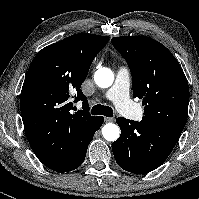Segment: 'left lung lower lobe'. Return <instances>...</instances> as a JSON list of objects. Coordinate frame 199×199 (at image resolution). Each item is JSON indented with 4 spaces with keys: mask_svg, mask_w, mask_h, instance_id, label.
I'll list each match as a JSON object with an SVG mask.
<instances>
[{
    "mask_svg": "<svg viewBox=\"0 0 199 199\" xmlns=\"http://www.w3.org/2000/svg\"><path fill=\"white\" fill-rule=\"evenodd\" d=\"M116 122L121 135L112 143V151L117 164L131 173L143 174L158 168L181 135L146 120L137 122L119 117Z\"/></svg>",
    "mask_w": 199,
    "mask_h": 199,
    "instance_id": "1",
    "label": "left lung lower lobe"
}]
</instances>
